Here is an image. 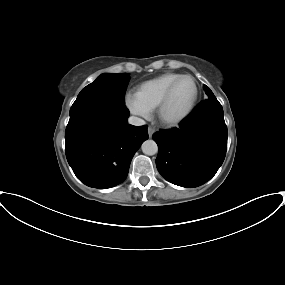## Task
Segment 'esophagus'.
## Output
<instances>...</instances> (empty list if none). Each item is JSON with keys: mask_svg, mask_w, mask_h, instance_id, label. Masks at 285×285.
Wrapping results in <instances>:
<instances>
[{"mask_svg": "<svg viewBox=\"0 0 285 285\" xmlns=\"http://www.w3.org/2000/svg\"><path fill=\"white\" fill-rule=\"evenodd\" d=\"M155 133V129L153 127H148V135L151 138L152 135Z\"/></svg>", "mask_w": 285, "mask_h": 285, "instance_id": "obj_1", "label": "esophagus"}]
</instances>
